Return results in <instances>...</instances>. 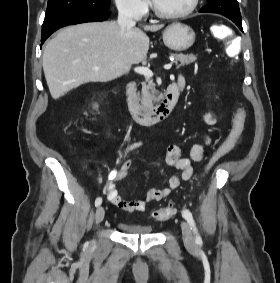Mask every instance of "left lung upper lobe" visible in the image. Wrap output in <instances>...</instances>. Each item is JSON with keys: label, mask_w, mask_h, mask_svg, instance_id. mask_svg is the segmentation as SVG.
I'll return each mask as SVG.
<instances>
[{"label": "left lung upper lobe", "mask_w": 280, "mask_h": 283, "mask_svg": "<svg viewBox=\"0 0 280 283\" xmlns=\"http://www.w3.org/2000/svg\"><path fill=\"white\" fill-rule=\"evenodd\" d=\"M208 5L201 8L200 12L218 13L227 18L241 19L237 0H207Z\"/></svg>", "instance_id": "1"}]
</instances>
